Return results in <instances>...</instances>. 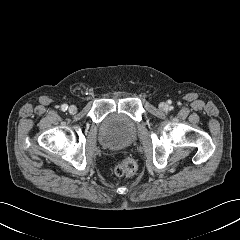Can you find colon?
I'll use <instances>...</instances> for the list:
<instances>
[{"label":"colon","mask_w":240,"mask_h":240,"mask_svg":"<svg viewBox=\"0 0 240 240\" xmlns=\"http://www.w3.org/2000/svg\"><path fill=\"white\" fill-rule=\"evenodd\" d=\"M137 171V164L133 159L124 158L114 166V173L118 177H131Z\"/></svg>","instance_id":"colon-1"}]
</instances>
